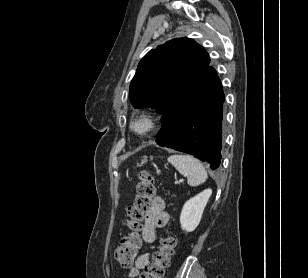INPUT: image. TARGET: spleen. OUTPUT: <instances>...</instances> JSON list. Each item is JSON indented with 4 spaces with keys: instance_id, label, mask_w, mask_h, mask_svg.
Returning a JSON list of instances; mask_svg holds the SVG:
<instances>
[{
    "instance_id": "spleen-1",
    "label": "spleen",
    "mask_w": 308,
    "mask_h": 278,
    "mask_svg": "<svg viewBox=\"0 0 308 278\" xmlns=\"http://www.w3.org/2000/svg\"><path fill=\"white\" fill-rule=\"evenodd\" d=\"M168 162L177 171L187 176L188 184L192 187L204 183L207 179V172L202 163L191 155L174 154L169 156Z\"/></svg>"
}]
</instances>
